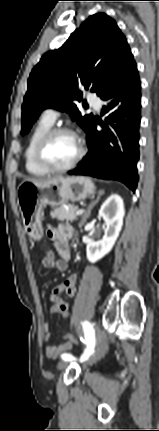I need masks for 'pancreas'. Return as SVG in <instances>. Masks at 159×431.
<instances>
[{"label":"pancreas","instance_id":"cf45deb5","mask_svg":"<svg viewBox=\"0 0 159 431\" xmlns=\"http://www.w3.org/2000/svg\"><path fill=\"white\" fill-rule=\"evenodd\" d=\"M78 207L72 204H68L66 206H60L55 208L50 215L53 219H57L59 221L73 222L77 219L76 211Z\"/></svg>","mask_w":159,"mask_h":431}]
</instances>
